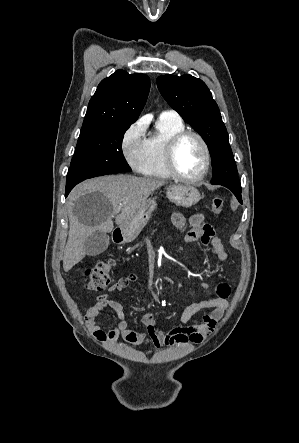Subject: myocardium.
Returning <instances> with one entry per match:
<instances>
[{
	"mask_svg": "<svg viewBox=\"0 0 299 443\" xmlns=\"http://www.w3.org/2000/svg\"><path fill=\"white\" fill-rule=\"evenodd\" d=\"M195 137L201 144L203 151H204V166H203V170L201 171V173L197 176L194 177H188L183 175L179 169L177 168L176 165V151L178 146L180 145V143L187 137ZM165 165L166 168L168 170V172L170 173L171 176H173L175 179L180 180L182 182H186V183H196L199 182L201 180H203L210 169V165H211V153H210V149L209 146L207 144V142L205 141V139L203 138V136L201 134H199L196 131L193 130H182L180 132H178L177 134H175L167 143L166 148H165Z\"/></svg>",
	"mask_w": 299,
	"mask_h": 443,
	"instance_id": "1",
	"label": "myocardium"
}]
</instances>
